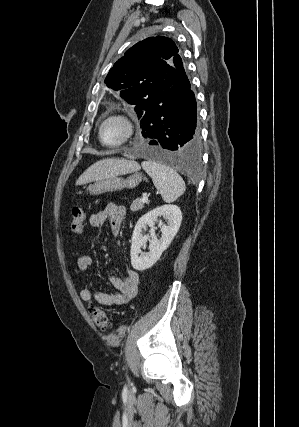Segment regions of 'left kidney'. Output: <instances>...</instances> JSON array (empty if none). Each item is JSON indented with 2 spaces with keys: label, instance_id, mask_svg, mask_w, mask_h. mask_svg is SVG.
<instances>
[{
  "label": "left kidney",
  "instance_id": "left-kidney-1",
  "mask_svg": "<svg viewBox=\"0 0 299 427\" xmlns=\"http://www.w3.org/2000/svg\"><path fill=\"white\" fill-rule=\"evenodd\" d=\"M162 216L167 224H162L161 238L155 236V222ZM182 221V212L180 208L173 204H166L157 207L144 214L136 223L131 243V264L138 271L146 270L152 267L161 257L162 253L169 247L176 236ZM150 227V235L142 234L143 230ZM150 240L149 252L142 253L141 247Z\"/></svg>",
  "mask_w": 299,
  "mask_h": 427
}]
</instances>
